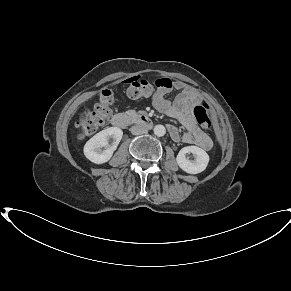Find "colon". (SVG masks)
Instances as JSON below:
<instances>
[{
	"mask_svg": "<svg viewBox=\"0 0 291 291\" xmlns=\"http://www.w3.org/2000/svg\"><path fill=\"white\" fill-rule=\"evenodd\" d=\"M127 86V94L132 99H138L151 95L160 87H169L168 80L150 81L144 76H135L123 81ZM113 93L109 88H103L99 92L97 103L82 111L75 121L78 130L77 136L83 138L100 131L112 114ZM193 114L198 123L209 132L215 131L213 113L207 103H197L193 107Z\"/></svg>",
	"mask_w": 291,
	"mask_h": 291,
	"instance_id": "obj_1",
	"label": "colon"
}]
</instances>
